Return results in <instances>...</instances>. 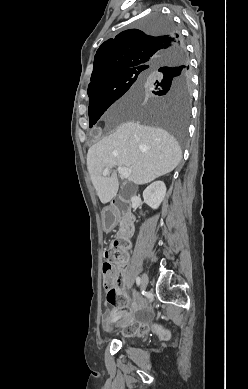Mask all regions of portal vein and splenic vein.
<instances>
[{"label": "portal vein and splenic vein", "mask_w": 248, "mask_h": 389, "mask_svg": "<svg viewBox=\"0 0 248 389\" xmlns=\"http://www.w3.org/2000/svg\"><path fill=\"white\" fill-rule=\"evenodd\" d=\"M118 172L121 175V177H123L124 179H127L131 175L132 171H131L130 168L119 166L118 167ZM108 174H109V168L104 169L103 175L106 176Z\"/></svg>", "instance_id": "portal-vein-and-splenic-vein-1"}]
</instances>
